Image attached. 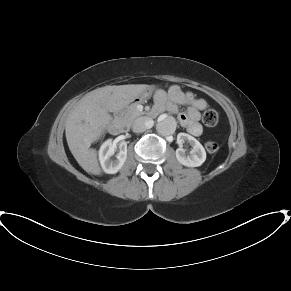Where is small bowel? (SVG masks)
<instances>
[{
	"mask_svg": "<svg viewBox=\"0 0 291 291\" xmlns=\"http://www.w3.org/2000/svg\"><path fill=\"white\" fill-rule=\"evenodd\" d=\"M179 105H187L186 113H179ZM208 103L201 98H195L189 92L178 86L172 87L167 93L159 91L155 95L154 113L168 111L178 115L180 123L186 131L193 136H200L203 128L199 123L200 112L206 109Z\"/></svg>",
	"mask_w": 291,
	"mask_h": 291,
	"instance_id": "small-bowel-1",
	"label": "small bowel"
}]
</instances>
